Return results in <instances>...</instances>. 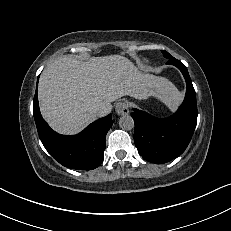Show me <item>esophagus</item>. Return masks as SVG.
Instances as JSON below:
<instances>
[{
	"label": "esophagus",
	"instance_id": "obj_1",
	"mask_svg": "<svg viewBox=\"0 0 231 231\" xmlns=\"http://www.w3.org/2000/svg\"><path fill=\"white\" fill-rule=\"evenodd\" d=\"M115 111L118 115H127L129 114L130 110H129V105L128 103L121 101L118 102L115 106Z\"/></svg>",
	"mask_w": 231,
	"mask_h": 231
}]
</instances>
